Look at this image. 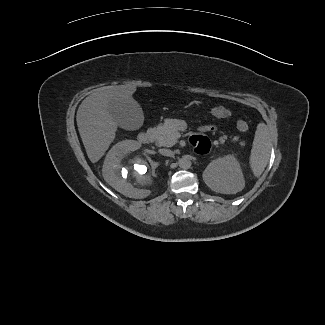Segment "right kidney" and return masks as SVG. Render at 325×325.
I'll return each instance as SVG.
<instances>
[{"mask_svg":"<svg viewBox=\"0 0 325 325\" xmlns=\"http://www.w3.org/2000/svg\"><path fill=\"white\" fill-rule=\"evenodd\" d=\"M140 148L133 140L117 143L108 152L102 174L105 181L121 194L135 199L145 198L155 186L157 175L140 155L127 158ZM127 158V161L123 162Z\"/></svg>","mask_w":325,"mask_h":325,"instance_id":"obj_1","label":"right kidney"}]
</instances>
